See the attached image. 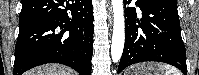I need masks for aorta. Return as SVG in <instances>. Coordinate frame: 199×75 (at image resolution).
Returning <instances> with one entry per match:
<instances>
[{
	"label": "aorta",
	"mask_w": 199,
	"mask_h": 75,
	"mask_svg": "<svg viewBox=\"0 0 199 75\" xmlns=\"http://www.w3.org/2000/svg\"><path fill=\"white\" fill-rule=\"evenodd\" d=\"M112 7L114 23L111 44V57L113 62H118L122 56L125 42L123 0H112Z\"/></svg>",
	"instance_id": "1"
}]
</instances>
